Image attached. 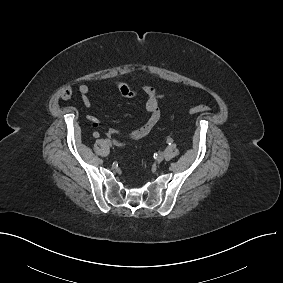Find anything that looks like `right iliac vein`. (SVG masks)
I'll use <instances>...</instances> for the list:
<instances>
[{"label": "right iliac vein", "instance_id": "1", "mask_svg": "<svg viewBox=\"0 0 283 283\" xmlns=\"http://www.w3.org/2000/svg\"><path fill=\"white\" fill-rule=\"evenodd\" d=\"M105 142H106V144H107L108 146H111V145H112V143H111V141H110L109 139H106Z\"/></svg>", "mask_w": 283, "mask_h": 283}]
</instances>
